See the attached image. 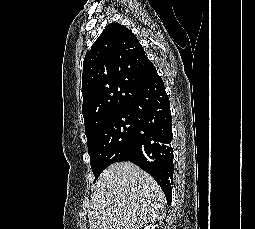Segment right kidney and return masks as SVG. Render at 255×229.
<instances>
[{
  "mask_svg": "<svg viewBox=\"0 0 255 229\" xmlns=\"http://www.w3.org/2000/svg\"><path fill=\"white\" fill-rule=\"evenodd\" d=\"M155 227H156V225H152V224H150V225H147L144 229H155Z\"/></svg>",
  "mask_w": 255,
  "mask_h": 229,
  "instance_id": "obj_1",
  "label": "right kidney"
}]
</instances>
